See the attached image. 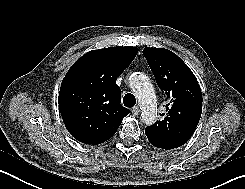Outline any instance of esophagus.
Here are the masks:
<instances>
[{
  "mask_svg": "<svg viewBox=\"0 0 245 189\" xmlns=\"http://www.w3.org/2000/svg\"><path fill=\"white\" fill-rule=\"evenodd\" d=\"M139 112H140V109H139L138 106H136V107H134V108L132 109V114H133V115H138Z\"/></svg>",
  "mask_w": 245,
  "mask_h": 189,
  "instance_id": "esophagus-1",
  "label": "esophagus"
}]
</instances>
